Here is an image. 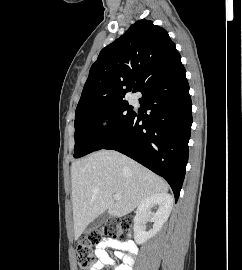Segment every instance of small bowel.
<instances>
[{
	"label": "small bowel",
	"instance_id": "small-bowel-1",
	"mask_svg": "<svg viewBox=\"0 0 242 270\" xmlns=\"http://www.w3.org/2000/svg\"><path fill=\"white\" fill-rule=\"evenodd\" d=\"M108 248L115 250L116 258L120 259L122 263L118 264L115 262L107 252ZM136 251L137 247L132 241L103 240L97 245L95 251L97 261L94 263L92 270H101L107 265L114 266V270H133L134 254Z\"/></svg>",
	"mask_w": 242,
	"mask_h": 270
}]
</instances>
